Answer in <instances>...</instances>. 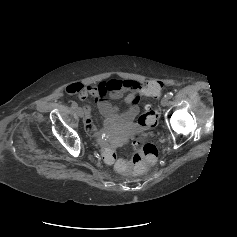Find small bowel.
Listing matches in <instances>:
<instances>
[{
    "instance_id": "obj_1",
    "label": "small bowel",
    "mask_w": 237,
    "mask_h": 237,
    "mask_svg": "<svg viewBox=\"0 0 237 237\" xmlns=\"http://www.w3.org/2000/svg\"><path fill=\"white\" fill-rule=\"evenodd\" d=\"M66 92L75 94L80 99L92 97L101 114L104 116V124L99 127L91 117L90 108L85 109V129L93 135L108 132L113 124L128 123L132 121L139 112V104L147 94L145 86L131 79L109 80L97 85H84L82 83H72L66 87ZM124 94H126L124 96ZM123 98L124 108L114 107L107 98Z\"/></svg>"
}]
</instances>
